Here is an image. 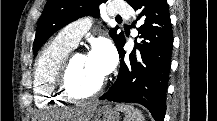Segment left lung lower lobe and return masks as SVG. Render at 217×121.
<instances>
[{"label":"left lung lower lobe","instance_id":"left-lung-lower-lobe-1","mask_svg":"<svg viewBox=\"0 0 217 121\" xmlns=\"http://www.w3.org/2000/svg\"><path fill=\"white\" fill-rule=\"evenodd\" d=\"M138 12L136 21L139 42L125 58V37L117 49L121 58L115 83L99 99L113 102L139 103L145 106L156 121H164L173 34L166 0H129ZM134 22V24L136 23Z\"/></svg>","mask_w":217,"mask_h":121}]
</instances>
